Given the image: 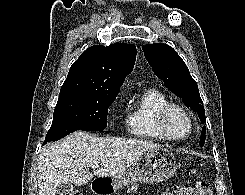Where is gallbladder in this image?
<instances>
[{"label":"gallbladder","instance_id":"1","mask_svg":"<svg viewBox=\"0 0 245 195\" xmlns=\"http://www.w3.org/2000/svg\"><path fill=\"white\" fill-rule=\"evenodd\" d=\"M74 187L72 183H62L57 189L58 195H67L73 191Z\"/></svg>","mask_w":245,"mask_h":195}]
</instances>
